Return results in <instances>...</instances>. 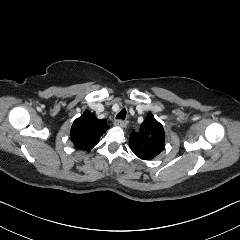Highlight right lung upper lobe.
<instances>
[{
	"mask_svg": "<svg viewBox=\"0 0 240 240\" xmlns=\"http://www.w3.org/2000/svg\"><path fill=\"white\" fill-rule=\"evenodd\" d=\"M108 128L105 120H99L91 112L85 111L74 120L71 127V138L78 149L90 150L99 142L100 136Z\"/></svg>",
	"mask_w": 240,
	"mask_h": 240,
	"instance_id": "1",
	"label": "right lung upper lobe"
}]
</instances>
